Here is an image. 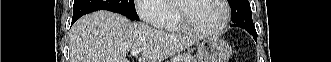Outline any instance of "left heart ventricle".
<instances>
[{"mask_svg": "<svg viewBox=\"0 0 331 62\" xmlns=\"http://www.w3.org/2000/svg\"><path fill=\"white\" fill-rule=\"evenodd\" d=\"M188 19L202 29H215L222 23L224 9L218 0H190L184 3Z\"/></svg>", "mask_w": 331, "mask_h": 62, "instance_id": "left-heart-ventricle-1", "label": "left heart ventricle"}]
</instances>
